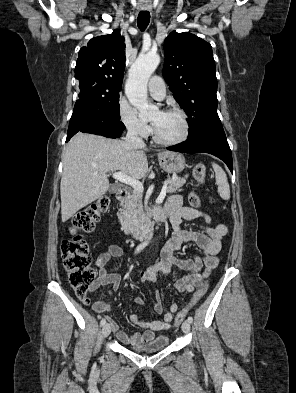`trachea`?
<instances>
[{
    "label": "trachea",
    "mask_w": 296,
    "mask_h": 393,
    "mask_svg": "<svg viewBox=\"0 0 296 393\" xmlns=\"http://www.w3.org/2000/svg\"><path fill=\"white\" fill-rule=\"evenodd\" d=\"M149 22H150V13L147 11L140 12L139 16H138V22H137L138 28L141 31H144L147 28V26L149 25Z\"/></svg>",
    "instance_id": "1"
}]
</instances>
